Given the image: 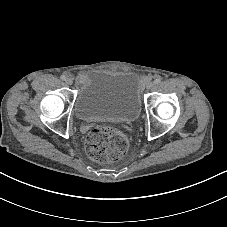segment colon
Segmentation results:
<instances>
[{
	"label": "colon",
	"instance_id": "obj_1",
	"mask_svg": "<svg viewBox=\"0 0 227 227\" xmlns=\"http://www.w3.org/2000/svg\"><path fill=\"white\" fill-rule=\"evenodd\" d=\"M128 148L127 136L117 128L96 126L87 135L88 155L100 163H111L121 159Z\"/></svg>",
	"mask_w": 227,
	"mask_h": 227
}]
</instances>
